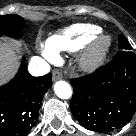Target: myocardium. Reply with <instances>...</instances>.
<instances>
[{
  "instance_id": "f54148a6",
  "label": "myocardium",
  "mask_w": 136,
  "mask_h": 136,
  "mask_svg": "<svg viewBox=\"0 0 136 136\" xmlns=\"http://www.w3.org/2000/svg\"><path fill=\"white\" fill-rule=\"evenodd\" d=\"M112 47V39L108 35H98L89 42L79 59L80 67L86 72H93L106 61Z\"/></svg>"
}]
</instances>
